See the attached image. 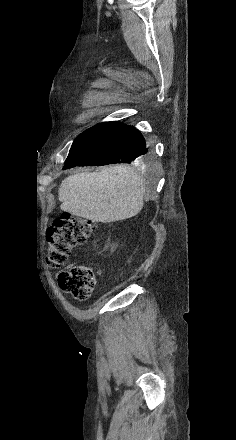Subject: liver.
I'll return each instance as SVG.
<instances>
[{"mask_svg": "<svg viewBox=\"0 0 236 440\" xmlns=\"http://www.w3.org/2000/svg\"><path fill=\"white\" fill-rule=\"evenodd\" d=\"M145 186L140 175L125 165L65 178L58 191L62 211L110 223L134 217L143 208Z\"/></svg>", "mask_w": 236, "mask_h": 440, "instance_id": "obj_1", "label": "liver"}]
</instances>
